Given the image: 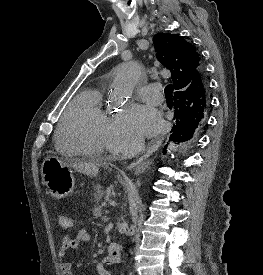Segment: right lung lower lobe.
Segmentation results:
<instances>
[{
    "label": "right lung lower lobe",
    "mask_w": 263,
    "mask_h": 275,
    "mask_svg": "<svg viewBox=\"0 0 263 275\" xmlns=\"http://www.w3.org/2000/svg\"><path fill=\"white\" fill-rule=\"evenodd\" d=\"M199 76L206 79L203 67L199 70ZM183 103L184 95L182 93H174V125L170 136V140L173 142H185L194 138L205 121V115L191 112Z\"/></svg>",
    "instance_id": "right-lung-lower-lobe-1"
}]
</instances>
